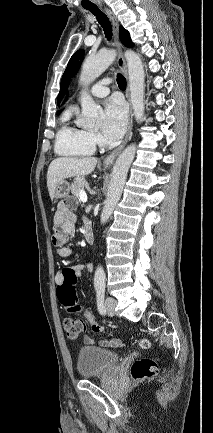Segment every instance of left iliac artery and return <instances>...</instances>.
<instances>
[{"instance_id": "44dca946", "label": "left iliac artery", "mask_w": 213, "mask_h": 433, "mask_svg": "<svg viewBox=\"0 0 213 433\" xmlns=\"http://www.w3.org/2000/svg\"><path fill=\"white\" fill-rule=\"evenodd\" d=\"M96 297H97V308L101 315L106 313L104 298H105V287L100 286L96 288Z\"/></svg>"}]
</instances>
